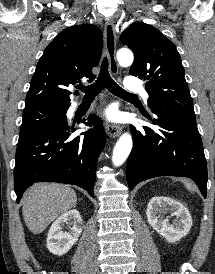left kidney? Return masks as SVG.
<instances>
[{
	"label": "left kidney",
	"mask_w": 215,
	"mask_h": 274,
	"mask_svg": "<svg viewBox=\"0 0 215 274\" xmlns=\"http://www.w3.org/2000/svg\"><path fill=\"white\" fill-rule=\"evenodd\" d=\"M167 206L172 212L170 217H176L172 223L169 222V217L163 216ZM146 215L152 228L170 243L186 236L192 227L189 210L179 201L169 197H153L148 203Z\"/></svg>",
	"instance_id": "left-kidney-1"
}]
</instances>
